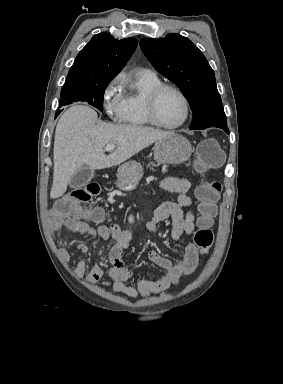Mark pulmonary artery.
Returning a JSON list of instances; mask_svg holds the SVG:
<instances>
[{"label": "pulmonary artery", "instance_id": "pulmonary-artery-1", "mask_svg": "<svg viewBox=\"0 0 283 384\" xmlns=\"http://www.w3.org/2000/svg\"><path fill=\"white\" fill-rule=\"evenodd\" d=\"M141 73H144V74H147V75H151V76H155V74L152 71L148 70V69L142 70Z\"/></svg>", "mask_w": 283, "mask_h": 384}]
</instances>
